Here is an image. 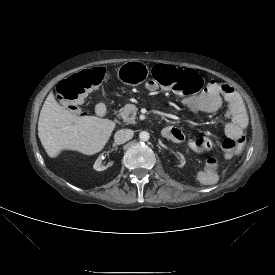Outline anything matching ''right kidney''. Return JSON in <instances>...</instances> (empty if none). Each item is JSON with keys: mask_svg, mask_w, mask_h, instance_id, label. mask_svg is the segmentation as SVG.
I'll return each instance as SVG.
<instances>
[{"mask_svg": "<svg viewBox=\"0 0 275 275\" xmlns=\"http://www.w3.org/2000/svg\"><path fill=\"white\" fill-rule=\"evenodd\" d=\"M114 157L108 153L104 152L98 155L96 162L93 165V168L96 171H103L111 166Z\"/></svg>", "mask_w": 275, "mask_h": 275, "instance_id": "obj_1", "label": "right kidney"}]
</instances>
